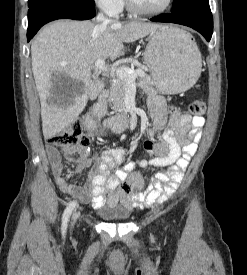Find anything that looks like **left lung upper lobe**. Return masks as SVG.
Returning a JSON list of instances; mask_svg holds the SVG:
<instances>
[{
	"mask_svg": "<svg viewBox=\"0 0 247 275\" xmlns=\"http://www.w3.org/2000/svg\"><path fill=\"white\" fill-rule=\"evenodd\" d=\"M207 5H209L208 0H173L171 13H178L194 7Z\"/></svg>",
	"mask_w": 247,
	"mask_h": 275,
	"instance_id": "5c2ea615",
	"label": "left lung upper lobe"
}]
</instances>
